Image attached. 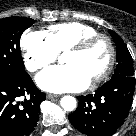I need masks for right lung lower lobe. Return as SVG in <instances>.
I'll return each mask as SVG.
<instances>
[{"instance_id": "obj_1", "label": "right lung lower lobe", "mask_w": 136, "mask_h": 136, "mask_svg": "<svg viewBox=\"0 0 136 136\" xmlns=\"http://www.w3.org/2000/svg\"><path fill=\"white\" fill-rule=\"evenodd\" d=\"M21 96H25L23 101H19ZM45 99L46 94L36 88L28 74L0 81V136L28 135L37 124Z\"/></svg>"}]
</instances>
